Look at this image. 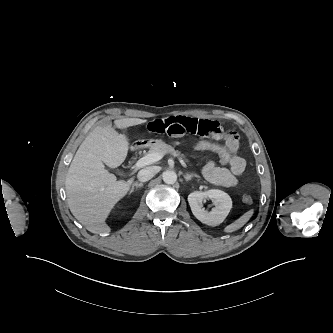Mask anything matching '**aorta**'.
I'll return each instance as SVG.
<instances>
[{
    "instance_id": "obj_1",
    "label": "aorta",
    "mask_w": 333,
    "mask_h": 333,
    "mask_svg": "<svg viewBox=\"0 0 333 333\" xmlns=\"http://www.w3.org/2000/svg\"><path fill=\"white\" fill-rule=\"evenodd\" d=\"M163 181L166 184H174L177 181V174L174 171H166L163 173Z\"/></svg>"
}]
</instances>
